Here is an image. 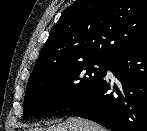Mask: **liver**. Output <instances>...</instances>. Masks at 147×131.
<instances>
[{
	"label": "liver",
	"instance_id": "1",
	"mask_svg": "<svg viewBox=\"0 0 147 131\" xmlns=\"http://www.w3.org/2000/svg\"><path fill=\"white\" fill-rule=\"evenodd\" d=\"M29 131H106L103 127L80 117H70L65 122L49 128H31Z\"/></svg>",
	"mask_w": 147,
	"mask_h": 131
}]
</instances>
